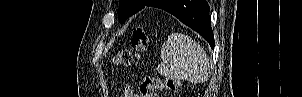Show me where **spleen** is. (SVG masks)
I'll return each mask as SVG.
<instances>
[{
    "label": "spleen",
    "mask_w": 302,
    "mask_h": 97,
    "mask_svg": "<svg viewBox=\"0 0 302 97\" xmlns=\"http://www.w3.org/2000/svg\"><path fill=\"white\" fill-rule=\"evenodd\" d=\"M161 75L203 83L209 78L210 63L202 47L188 35L172 33L161 48Z\"/></svg>",
    "instance_id": "spleen-1"
}]
</instances>
